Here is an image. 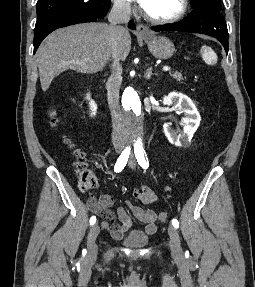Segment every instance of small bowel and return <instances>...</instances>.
Masks as SVG:
<instances>
[{
	"mask_svg": "<svg viewBox=\"0 0 255 287\" xmlns=\"http://www.w3.org/2000/svg\"><path fill=\"white\" fill-rule=\"evenodd\" d=\"M134 198L141 204H154L158 200L157 193L149 186L139 185L134 189ZM113 198L110 195H101L98 199L90 198L88 208L91 212L102 217L101 226L108 230L114 239H121L131 228L132 219L129 212L145 225V231L153 234L157 230L158 215L151 209L128 202L126 206H119L116 214L112 211ZM118 218L119 223L116 222Z\"/></svg>",
	"mask_w": 255,
	"mask_h": 287,
	"instance_id": "c3829d8e",
	"label": "small bowel"
}]
</instances>
